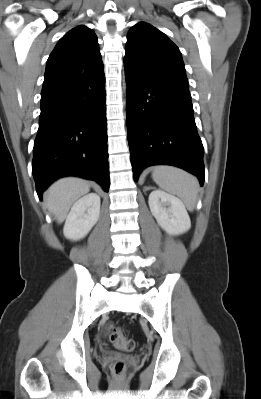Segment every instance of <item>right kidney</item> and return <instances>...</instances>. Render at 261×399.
I'll use <instances>...</instances> for the list:
<instances>
[{
  "mask_svg": "<svg viewBox=\"0 0 261 399\" xmlns=\"http://www.w3.org/2000/svg\"><path fill=\"white\" fill-rule=\"evenodd\" d=\"M100 215V197L89 193L80 198L71 208L63 234L67 239L80 240L84 238L97 223Z\"/></svg>",
  "mask_w": 261,
  "mask_h": 399,
  "instance_id": "obj_1",
  "label": "right kidney"
}]
</instances>
